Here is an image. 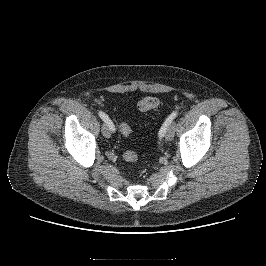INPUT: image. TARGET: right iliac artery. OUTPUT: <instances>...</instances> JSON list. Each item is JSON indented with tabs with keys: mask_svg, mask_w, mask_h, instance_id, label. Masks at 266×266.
<instances>
[{
	"mask_svg": "<svg viewBox=\"0 0 266 266\" xmlns=\"http://www.w3.org/2000/svg\"><path fill=\"white\" fill-rule=\"evenodd\" d=\"M99 116L101 119L110 127L111 131H115V126L113 122L109 119V117L102 111H98Z\"/></svg>",
	"mask_w": 266,
	"mask_h": 266,
	"instance_id": "82829eb1",
	"label": "right iliac artery"
}]
</instances>
